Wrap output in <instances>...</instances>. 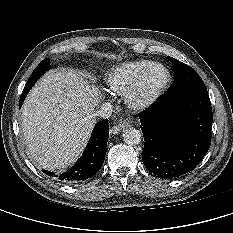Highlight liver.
Listing matches in <instances>:
<instances>
[{"label": "liver", "instance_id": "1", "mask_svg": "<svg viewBox=\"0 0 233 233\" xmlns=\"http://www.w3.org/2000/svg\"><path fill=\"white\" fill-rule=\"evenodd\" d=\"M101 98L74 70L47 72L22 107V128L32 161L51 171L73 164L90 138Z\"/></svg>", "mask_w": 233, "mask_h": 233}]
</instances>
